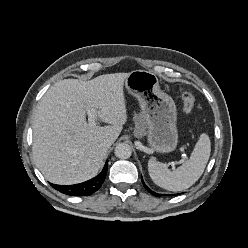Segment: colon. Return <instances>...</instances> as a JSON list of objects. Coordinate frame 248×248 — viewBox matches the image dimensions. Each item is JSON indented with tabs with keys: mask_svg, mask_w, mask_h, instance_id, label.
<instances>
[{
	"mask_svg": "<svg viewBox=\"0 0 248 248\" xmlns=\"http://www.w3.org/2000/svg\"><path fill=\"white\" fill-rule=\"evenodd\" d=\"M181 98L183 101V110L187 115H191L195 110V97L187 90H181Z\"/></svg>",
	"mask_w": 248,
	"mask_h": 248,
	"instance_id": "1",
	"label": "colon"
}]
</instances>
